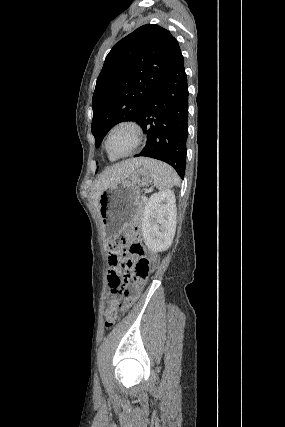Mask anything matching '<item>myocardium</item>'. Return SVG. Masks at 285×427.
I'll list each match as a JSON object with an SVG mask.
<instances>
[{"mask_svg": "<svg viewBox=\"0 0 285 427\" xmlns=\"http://www.w3.org/2000/svg\"><path fill=\"white\" fill-rule=\"evenodd\" d=\"M122 127L129 128L133 132L135 141H134V144L129 151L122 153V154H115V153H112L110 151V149L108 147V140H109V137L113 131H115L118 128H122ZM142 140H143V131H142L141 126L135 121L123 120V121H119V122L115 123L114 125H112L110 127V129L106 133V136L104 139V147L110 156L115 157V158H122V157H127V156L133 154L135 152V150L142 143Z\"/></svg>", "mask_w": 285, "mask_h": 427, "instance_id": "obj_1", "label": "myocardium"}]
</instances>
